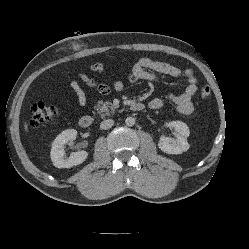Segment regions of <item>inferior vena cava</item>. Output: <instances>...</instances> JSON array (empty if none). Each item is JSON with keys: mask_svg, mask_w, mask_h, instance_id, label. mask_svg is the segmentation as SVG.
Wrapping results in <instances>:
<instances>
[{"mask_svg": "<svg viewBox=\"0 0 249 249\" xmlns=\"http://www.w3.org/2000/svg\"><path fill=\"white\" fill-rule=\"evenodd\" d=\"M113 124H114V121L112 119H107L101 122L100 128L106 130V129L111 128Z\"/></svg>", "mask_w": 249, "mask_h": 249, "instance_id": "1", "label": "inferior vena cava"}]
</instances>
